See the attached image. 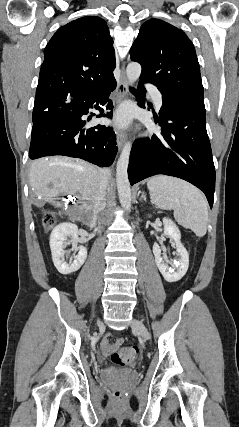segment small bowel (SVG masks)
Segmentation results:
<instances>
[{
  "label": "small bowel",
  "instance_id": "1",
  "mask_svg": "<svg viewBox=\"0 0 239 427\" xmlns=\"http://www.w3.org/2000/svg\"><path fill=\"white\" fill-rule=\"evenodd\" d=\"M122 339H117L113 343L109 341V338L106 337L101 342V349L105 355H108L110 352L118 348L122 344Z\"/></svg>",
  "mask_w": 239,
  "mask_h": 427
}]
</instances>
